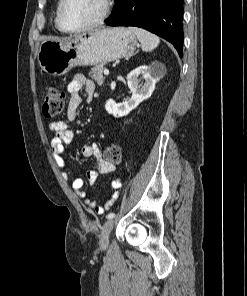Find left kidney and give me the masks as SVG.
Instances as JSON below:
<instances>
[{"instance_id": "5707ae66", "label": "left kidney", "mask_w": 247, "mask_h": 296, "mask_svg": "<svg viewBox=\"0 0 247 296\" xmlns=\"http://www.w3.org/2000/svg\"><path fill=\"white\" fill-rule=\"evenodd\" d=\"M141 80H144V82L140 83ZM127 82L132 92L131 98L119 104L109 99L105 105L106 111L117 118L128 115L141 102L152 95L157 82V75L153 72L151 66L143 65L128 74Z\"/></svg>"}]
</instances>
